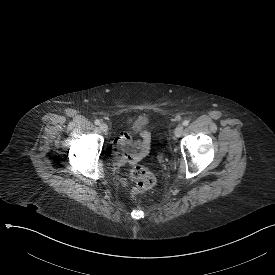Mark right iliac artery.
<instances>
[{
	"label": "right iliac artery",
	"instance_id": "82829eb1",
	"mask_svg": "<svg viewBox=\"0 0 275 275\" xmlns=\"http://www.w3.org/2000/svg\"><path fill=\"white\" fill-rule=\"evenodd\" d=\"M96 125H99L100 124V121L99 120H95L94 122Z\"/></svg>",
	"mask_w": 275,
	"mask_h": 275
}]
</instances>
